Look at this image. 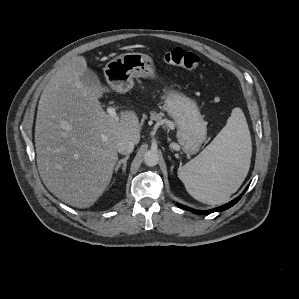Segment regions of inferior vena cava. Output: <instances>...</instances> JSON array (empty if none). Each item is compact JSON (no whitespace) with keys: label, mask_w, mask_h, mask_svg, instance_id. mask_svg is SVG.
<instances>
[{"label":"inferior vena cava","mask_w":299,"mask_h":299,"mask_svg":"<svg viewBox=\"0 0 299 299\" xmlns=\"http://www.w3.org/2000/svg\"><path fill=\"white\" fill-rule=\"evenodd\" d=\"M135 143L130 140H122L118 143L117 151L123 155H129L134 150Z\"/></svg>","instance_id":"obj_1"}]
</instances>
